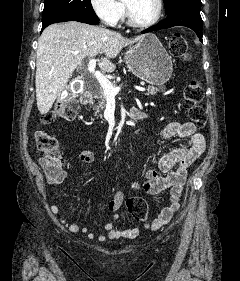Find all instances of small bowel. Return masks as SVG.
Instances as JSON below:
<instances>
[{
  "label": "small bowel",
  "instance_id": "obj_1",
  "mask_svg": "<svg viewBox=\"0 0 240 281\" xmlns=\"http://www.w3.org/2000/svg\"><path fill=\"white\" fill-rule=\"evenodd\" d=\"M143 118L147 117L143 113ZM180 137L186 141L165 153L159 160L156 169H150L145 173V181L142 183L133 182L132 189L142 191L149 195H157L161 192L170 190V202L161 211L157 219L146 228L158 229L167 224L180 207L183 196V187L187 179L188 170L191 165L201 156L205 149V138L197 132L196 126L192 122H171L160 134L161 139H170ZM76 158L88 165L95 162V155L92 150L85 149L75 154ZM47 175V174H46ZM68 172L60 167L55 176L47 175V182L50 185L58 186L63 184L68 178ZM124 201V192L119 190L115 193L113 199L108 203L107 210L111 216V221L104 225L105 235H98L90 232L88 227H81L76 223L69 224V231L72 233L82 232L87 234L90 239L104 241L109 239H133L140 232L139 227L133 228H115L114 223L118 219L117 211ZM51 211L59 215V208L56 205L51 206ZM65 223L64 219H60Z\"/></svg>",
  "mask_w": 240,
  "mask_h": 281
}]
</instances>
